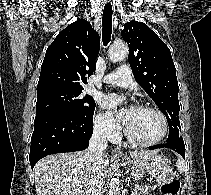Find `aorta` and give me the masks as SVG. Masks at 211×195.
<instances>
[{"instance_id": "762f6f07", "label": "aorta", "mask_w": 211, "mask_h": 195, "mask_svg": "<svg viewBox=\"0 0 211 195\" xmlns=\"http://www.w3.org/2000/svg\"><path fill=\"white\" fill-rule=\"evenodd\" d=\"M128 52L129 49L125 43L116 42L110 47L108 56L112 62H118L125 59L128 55ZM108 193L109 195H119L120 189L116 178L111 179Z\"/></svg>"}]
</instances>
